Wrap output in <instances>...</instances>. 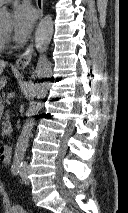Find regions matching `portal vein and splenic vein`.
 I'll return each mask as SVG.
<instances>
[{
	"mask_svg": "<svg viewBox=\"0 0 128 213\" xmlns=\"http://www.w3.org/2000/svg\"><path fill=\"white\" fill-rule=\"evenodd\" d=\"M4 109V105L3 104H0V112H2Z\"/></svg>",
	"mask_w": 128,
	"mask_h": 213,
	"instance_id": "18ae733b",
	"label": "portal vein and splenic vein"
}]
</instances>
